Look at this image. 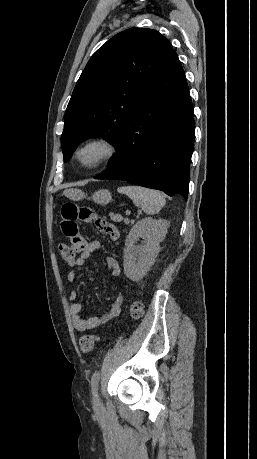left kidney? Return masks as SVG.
Segmentation results:
<instances>
[{
	"label": "left kidney",
	"instance_id": "left-kidney-1",
	"mask_svg": "<svg viewBox=\"0 0 257 459\" xmlns=\"http://www.w3.org/2000/svg\"><path fill=\"white\" fill-rule=\"evenodd\" d=\"M169 224L165 219L151 217L138 221L130 230L124 249V272L132 281H139L155 262L160 251V242L167 234ZM138 238L145 240V245H136Z\"/></svg>",
	"mask_w": 257,
	"mask_h": 459
}]
</instances>
